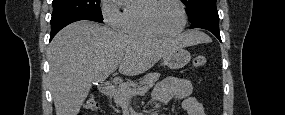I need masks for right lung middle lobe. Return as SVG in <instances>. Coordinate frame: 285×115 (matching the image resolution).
Returning <instances> with one entry per match:
<instances>
[{
	"label": "right lung middle lobe",
	"mask_w": 285,
	"mask_h": 115,
	"mask_svg": "<svg viewBox=\"0 0 285 115\" xmlns=\"http://www.w3.org/2000/svg\"><path fill=\"white\" fill-rule=\"evenodd\" d=\"M72 19L103 23L100 0H53L51 27Z\"/></svg>",
	"instance_id": "right-lung-middle-lobe-1"
}]
</instances>
